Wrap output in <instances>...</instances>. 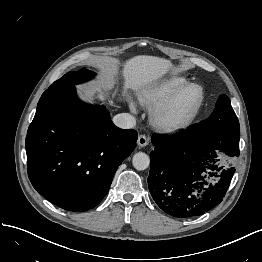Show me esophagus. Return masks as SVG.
Returning a JSON list of instances; mask_svg holds the SVG:
<instances>
[{"instance_id":"esophagus-1","label":"esophagus","mask_w":262,"mask_h":262,"mask_svg":"<svg viewBox=\"0 0 262 262\" xmlns=\"http://www.w3.org/2000/svg\"><path fill=\"white\" fill-rule=\"evenodd\" d=\"M148 143H149V138L146 135L141 134L138 136L137 139L138 146L145 147L146 145H148Z\"/></svg>"}]
</instances>
